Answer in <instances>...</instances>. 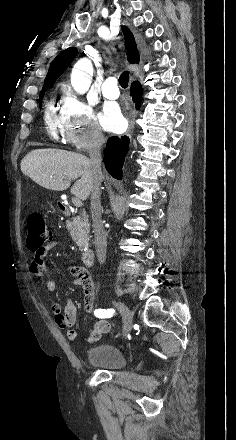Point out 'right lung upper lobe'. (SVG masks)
I'll return each instance as SVG.
<instances>
[{"mask_svg":"<svg viewBox=\"0 0 236 440\" xmlns=\"http://www.w3.org/2000/svg\"><path fill=\"white\" fill-rule=\"evenodd\" d=\"M122 30L125 37V45L127 47L128 62L138 64L140 54L134 35L126 26H123ZM76 55L77 49L75 47H70L57 55L49 68L40 96L44 94L47 88H51L54 85V82L66 70Z\"/></svg>","mask_w":236,"mask_h":440,"instance_id":"cb5924a9","label":"right lung upper lobe"}]
</instances>
